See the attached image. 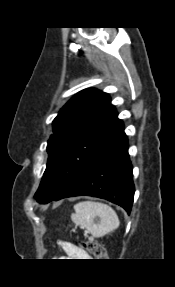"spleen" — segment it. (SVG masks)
Here are the masks:
<instances>
[{"mask_svg":"<svg viewBox=\"0 0 175 287\" xmlns=\"http://www.w3.org/2000/svg\"><path fill=\"white\" fill-rule=\"evenodd\" d=\"M74 210L75 213L71 215L73 223L86 229L92 238L103 237L119 226L116 212L107 204L82 201L74 205Z\"/></svg>","mask_w":175,"mask_h":287,"instance_id":"spleen-1","label":"spleen"}]
</instances>
